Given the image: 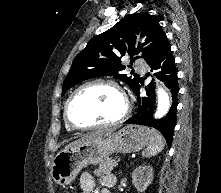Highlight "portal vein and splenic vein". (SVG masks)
I'll return each mask as SVG.
<instances>
[{"label": "portal vein and splenic vein", "instance_id": "portal-vein-and-splenic-vein-1", "mask_svg": "<svg viewBox=\"0 0 221 193\" xmlns=\"http://www.w3.org/2000/svg\"><path fill=\"white\" fill-rule=\"evenodd\" d=\"M113 166H114V167L118 166V162H115Z\"/></svg>", "mask_w": 221, "mask_h": 193}]
</instances>
